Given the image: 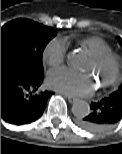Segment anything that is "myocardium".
<instances>
[{
    "mask_svg": "<svg viewBox=\"0 0 122 154\" xmlns=\"http://www.w3.org/2000/svg\"><path fill=\"white\" fill-rule=\"evenodd\" d=\"M94 71H106V77L100 82L102 89L115 85L122 75V58L115 53H108L91 58Z\"/></svg>",
    "mask_w": 122,
    "mask_h": 154,
    "instance_id": "1",
    "label": "myocardium"
}]
</instances>
